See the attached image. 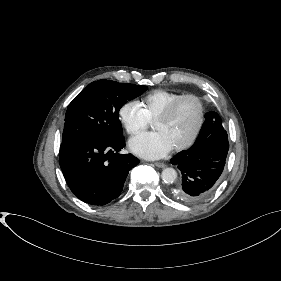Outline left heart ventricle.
<instances>
[{
    "label": "left heart ventricle",
    "instance_id": "obj_1",
    "mask_svg": "<svg viewBox=\"0 0 281 281\" xmlns=\"http://www.w3.org/2000/svg\"><path fill=\"white\" fill-rule=\"evenodd\" d=\"M199 107L195 100L188 99L180 103L165 120L155 121L153 128L162 133L172 147L185 142L196 128Z\"/></svg>",
    "mask_w": 281,
    "mask_h": 281
}]
</instances>
